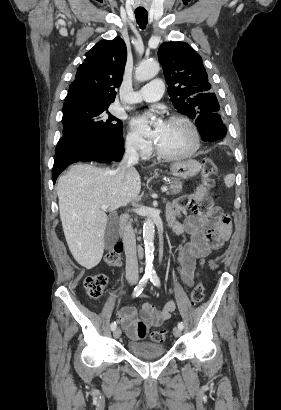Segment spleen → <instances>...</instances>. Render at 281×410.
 <instances>
[{"mask_svg": "<svg viewBox=\"0 0 281 410\" xmlns=\"http://www.w3.org/2000/svg\"><path fill=\"white\" fill-rule=\"evenodd\" d=\"M226 187L230 188L234 185L235 176L233 174H228L224 177Z\"/></svg>", "mask_w": 281, "mask_h": 410, "instance_id": "3e777b00", "label": "spleen"}]
</instances>
